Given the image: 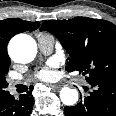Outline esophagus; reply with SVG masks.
I'll return each mask as SVG.
<instances>
[{"instance_id": "obj_1", "label": "esophagus", "mask_w": 116, "mask_h": 116, "mask_svg": "<svg viewBox=\"0 0 116 116\" xmlns=\"http://www.w3.org/2000/svg\"><path fill=\"white\" fill-rule=\"evenodd\" d=\"M48 86L52 88L53 90H58L61 88V85L59 84H49Z\"/></svg>"}]
</instances>
